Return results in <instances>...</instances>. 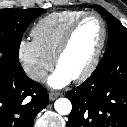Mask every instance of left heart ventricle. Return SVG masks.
<instances>
[{
    "label": "left heart ventricle",
    "mask_w": 127,
    "mask_h": 127,
    "mask_svg": "<svg viewBox=\"0 0 127 127\" xmlns=\"http://www.w3.org/2000/svg\"><path fill=\"white\" fill-rule=\"evenodd\" d=\"M102 37V26L95 17L84 20L77 28L68 50L59 62V68L73 78L91 62Z\"/></svg>",
    "instance_id": "b2bd125f"
}]
</instances>
